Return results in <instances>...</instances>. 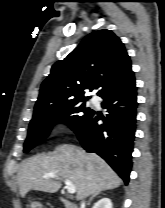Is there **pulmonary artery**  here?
Segmentation results:
<instances>
[{"label": "pulmonary artery", "instance_id": "obj_1", "mask_svg": "<svg viewBox=\"0 0 165 208\" xmlns=\"http://www.w3.org/2000/svg\"><path fill=\"white\" fill-rule=\"evenodd\" d=\"M93 102H94V103H96V102H97V100H94V99H93Z\"/></svg>", "mask_w": 165, "mask_h": 208}]
</instances>
